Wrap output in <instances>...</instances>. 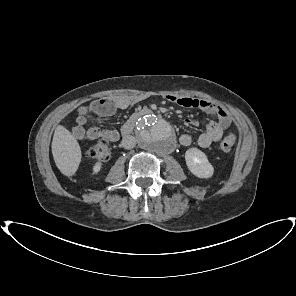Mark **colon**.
<instances>
[{
	"label": "colon",
	"mask_w": 296,
	"mask_h": 296,
	"mask_svg": "<svg viewBox=\"0 0 296 296\" xmlns=\"http://www.w3.org/2000/svg\"><path fill=\"white\" fill-rule=\"evenodd\" d=\"M236 134L230 131L220 142L219 149L223 152L229 151L236 142ZM89 158L107 161L111 157V149L105 140H99L87 150Z\"/></svg>",
	"instance_id": "1"
}]
</instances>
